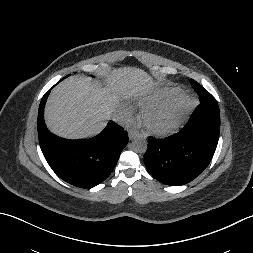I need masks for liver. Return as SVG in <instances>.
<instances>
[{
	"mask_svg": "<svg viewBox=\"0 0 253 253\" xmlns=\"http://www.w3.org/2000/svg\"><path fill=\"white\" fill-rule=\"evenodd\" d=\"M102 87L91 78L74 75L56 86L45 107L46 125L54 134L70 139L98 134L120 99L142 95L155 83L142 69H114Z\"/></svg>",
	"mask_w": 253,
	"mask_h": 253,
	"instance_id": "obj_1",
	"label": "liver"
}]
</instances>
